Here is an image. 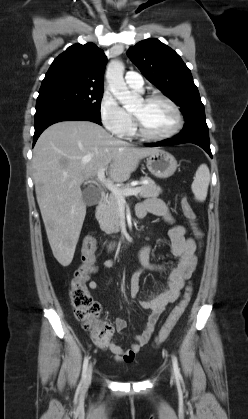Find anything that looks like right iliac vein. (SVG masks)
I'll list each match as a JSON object with an SVG mask.
<instances>
[{"label":"right iliac vein","instance_id":"obj_1","mask_svg":"<svg viewBox=\"0 0 248 419\" xmlns=\"http://www.w3.org/2000/svg\"><path fill=\"white\" fill-rule=\"evenodd\" d=\"M92 373H93V365L90 364L89 367H88V370H87V375H86L85 382H84L83 387H82L83 391H85L87 389L88 385L90 384L91 379H92Z\"/></svg>","mask_w":248,"mask_h":419}]
</instances>
